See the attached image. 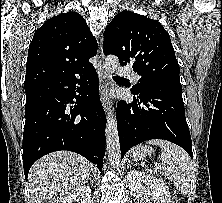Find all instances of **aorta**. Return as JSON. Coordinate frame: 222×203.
<instances>
[{"instance_id": "aorta-1", "label": "aorta", "mask_w": 222, "mask_h": 203, "mask_svg": "<svg viewBox=\"0 0 222 203\" xmlns=\"http://www.w3.org/2000/svg\"><path fill=\"white\" fill-rule=\"evenodd\" d=\"M119 65V60L115 55H108L105 58L104 68L105 73L108 79H112L113 73L116 71ZM107 113V123H106V147L108 152V157L111 164L114 167H119L121 162V151L119 136L117 130L116 117L111 112V109H108Z\"/></svg>"}]
</instances>
